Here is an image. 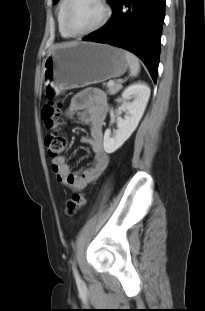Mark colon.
Returning a JSON list of instances; mask_svg holds the SVG:
<instances>
[{"mask_svg": "<svg viewBox=\"0 0 205 311\" xmlns=\"http://www.w3.org/2000/svg\"><path fill=\"white\" fill-rule=\"evenodd\" d=\"M41 118L45 127L51 131L45 137V146L48 156L56 158L65 150L67 146V138L59 134L57 131L62 124L61 120V102L53 98L49 93V99L41 108ZM86 203L83 193H73L67 201V210L69 214H75Z\"/></svg>", "mask_w": 205, "mask_h": 311, "instance_id": "5ec220e1", "label": "colon"}]
</instances>
